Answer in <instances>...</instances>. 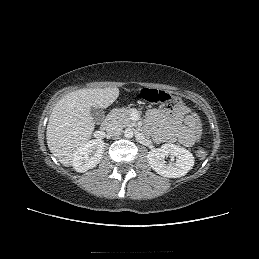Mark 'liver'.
<instances>
[{"label": "liver", "instance_id": "liver-1", "mask_svg": "<svg viewBox=\"0 0 259 259\" xmlns=\"http://www.w3.org/2000/svg\"><path fill=\"white\" fill-rule=\"evenodd\" d=\"M118 96L117 87L79 89L56 103L49 117L46 139L49 150L62 165L71 166L76 150L91 137L95 128L91 107L107 108Z\"/></svg>", "mask_w": 259, "mask_h": 259}]
</instances>
